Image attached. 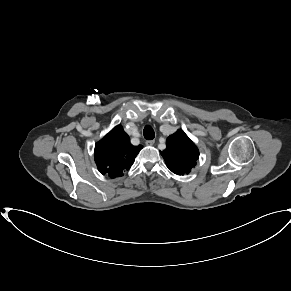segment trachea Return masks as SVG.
I'll return each mask as SVG.
<instances>
[{
  "label": "trachea",
  "mask_w": 291,
  "mask_h": 291,
  "mask_svg": "<svg viewBox=\"0 0 291 291\" xmlns=\"http://www.w3.org/2000/svg\"><path fill=\"white\" fill-rule=\"evenodd\" d=\"M143 135L145 139L152 140L155 137V132L151 126H146L143 130Z\"/></svg>",
  "instance_id": "obj_1"
}]
</instances>
